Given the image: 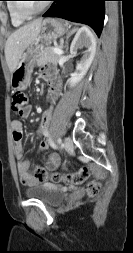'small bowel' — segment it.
<instances>
[{
	"label": "small bowel",
	"mask_w": 133,
	"mask_h": 253,
	"mask_svg": "<svg viewBox=\"0 0 133 253\" xmlns=\"http://www.w3.org/2000/svg\"><path fill=\"white\" fill-rule=\"evenodd\" d=\"M41 77L50 83L49 99L51 101H54L60 94V82L55 78L54 74L47 67H43L41 69ZM31 111V106L28 105L22 112L21 116L26 118L31 114ZM51 118L52 111L51 109H48L43 113L42 122L39 129L40 134L45 137V139L42 140L39 144L40 152L47 150L51 145L49 135V125ZM11 128L19 179L24 185H35L41 182V180L36 176L35 173L31 171L29 162L24 159V148L22 144L23 124L20 120H13L11 122ZM59 167H65V164L62 162L60 156L56 153L48 155L45 166L43 167L46 172L48 173Z\"/></svg>",
	"instance_id": "obj_1"
}]
</instances>
